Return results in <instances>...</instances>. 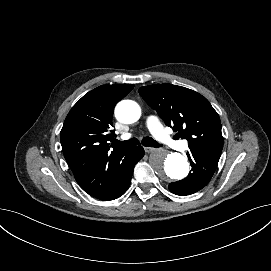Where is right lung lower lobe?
<instances>
[{
  "mask_svg": "<svg viewBox=\"0 0 271 271\" xmlns=\"http://www.w3.org/2000/svg\"><path fill=\"white\" fill-rule=\"evenodd\" d=\"M143 156L141 146L119 150L76 181L89 195L100 200H114L129 188L134 166Z\"/></svg>",
  "mask_w": 271,
  "mask_h": 271,
  "instance_id": "obj_1",
  "label": "right lung lower lobe"
}]
</instances>
